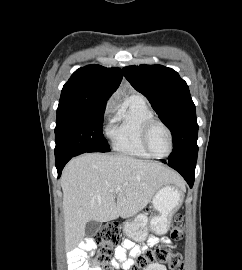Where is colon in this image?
<instances>
[{
	"mask_svg": "<svg viewBox=\"0 0 242 270\" xmlns=\"http://www.w3.org/2000/svg\"><path fill=\"white\" fill-rule=\"evenodd\" d=\"M182 224V215H176L171 227V238L175 241L183 239ZM120 241L121 231L117 224H107L101 228L93 237L97 254L94 259L89 260L90 265L97 266L99 270H113L110 255ZM152 264H164L168 270H183L184 267L181 254L168 247H157L138 256L131 270H148Z\"/></svg>",
	"mask_w": 242,
	"mask_h": 270,
	"instance_id": "colon-1",
	"label": "colon"
}]
</instances>
